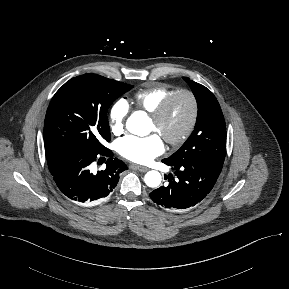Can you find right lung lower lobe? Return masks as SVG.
Masks as SVG:
<instances>
[{
  "mask_svg": "<svg viewBox=\"0 0 289 289\" xmlns=\"http://www.w3.org/2000/svg\"><path fill=\"white\" fill-rule=\"evenodd\" d=\"M110 149L100 152L67 150L47 158V164L59 190L75 203L103 200L116 187L119 175L127 170L126 164L117 159ZM110 157L106 168L92 172L95 162Z\"/></svg>",
  "mask_w": 289,
  "mask_h": 289,
  "instance_id": "right-lung-lower-lobe-1",
  "label": "right lung lower lobe"
}]
</instances>
